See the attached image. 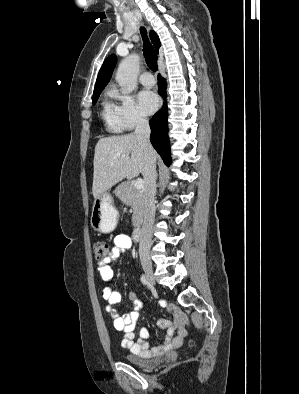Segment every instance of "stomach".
Here are the masks:
<instances>
[{"label": "stomach", "mask_w": 299, "mask_h": 394, "mask_svg": "<svg viewBox=\"0 0 299 394\" xmlns=\"http://www.w3.org/2000/svg\"><path fill=\"white\" fill-rule=\"evenodd\" d=\"M118 218V211L108 193H103L95 199L91 214V225L95 231L101 233L112 232L117 226Z\"/></svg>", "instance_id": "1"}]
</instances>
